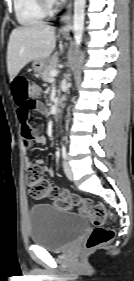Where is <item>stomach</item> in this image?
<instances>
[{
    "mask_svg": "<svg viewBox=\"0 0 134 281\" xmlns=\"http://www.w3.org/2000/svg\"><path fill=\"white\" fill-rule=\"evenodd\" d=\"M48 59H38L33 62V69L37 73H41L48 65Z\"/></svg>",
    "mask_w": 134,
    "mask_h": 281,
    "instance_id": "1",
    "label": "stomach"
}]
</instances>
